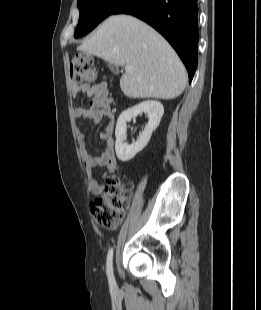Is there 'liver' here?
Returning <instances> with one entry per match:
<instances>
[{"label":"liver","instance_id":"6515ba94","mask_svg":"<svg viewBox=\"0 0 261 310\" xmlns=\"http://www.w3.org/2000/svg\"><path fill=\"white\" fill-rule=\"evenodd\" d=\"M115 65H130L120 79L129 98L174 99L187 84L186 69L170 44L152 27L130 15L107 18L77 48Z\"/></svg>","mask_w":261,"mask_h":310}]
</instances>
